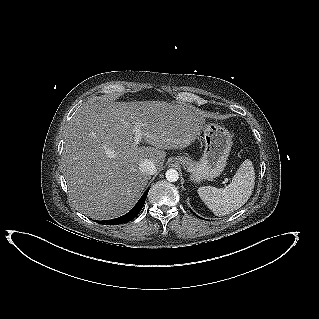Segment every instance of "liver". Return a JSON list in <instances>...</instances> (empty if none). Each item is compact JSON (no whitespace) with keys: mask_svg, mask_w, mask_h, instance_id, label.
<instances>
[{"mask_svg":"<svg viewBox=\"0 0 319 319\" xmlns=\"http://www.w3.org/2000/svg\"><path fill=\"white\" fill-rule=\"evenodd\" d=\"M204 123L205 116L187 104L89 101L71 119L64 136L61 167L69 200L92 219L122 216L148 183L139 164L149 159L161 170L165 150L188 147ZM136 124L150 146L133 144Z\"/></svg>","mask_w":319,"mask_h":319,"instance_id":"obj_1","label":"liver"}]
</instances>
